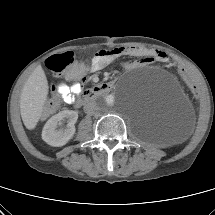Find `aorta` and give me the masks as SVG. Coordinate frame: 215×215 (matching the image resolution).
Masks as SVG:
<instances>
[{
	"label": "aorta",
	"instance_id": "aorta-1",
	"mask_svg": "<svg viewBox=\"0 0 215 215\" xmlns=\"http://www.w3.org/2000/svg\"><path fill=\"white\" fill-rule=\"evenodd\" d=\"M98 107L103 110L112 109L116 104V99L113 95L100 97L97 101Z\"/></svg>",
	"mask_w": 215,
	"mask_h": 215
}]
</instances>
